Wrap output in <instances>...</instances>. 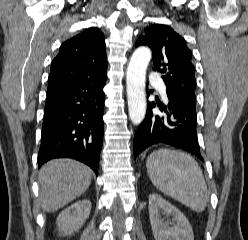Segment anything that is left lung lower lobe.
I'll return each mask as SVG.
<instances>
[{
	"label": "left lung lower lobe",
	"instance_id": "left-lung-lower-lobe-1",
	"mask_svg": "<svg viewBox=\"0 0 248 240\" xmlns=\"http://www.w3.org/2000/svg\"><path fill=\"white\" fill-rule=\"evenodd\" d=\"M149 95V94H148ZM168 104L157 103L163 115H155L154 102H148L145 119L134 140V158L153 144L164 143L188 151L203 160L198 144L195 105L181 103L168 96Z\"/></svg>",
	"mask_w": 248,
	"mask_h": 240
}]
</instances>
